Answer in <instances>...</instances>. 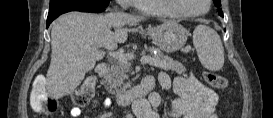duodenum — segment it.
<instances>
[{"label":"duodenum","instance_id":"duodenum-1","mask_svg":"<svg viewBox=\"0 0 273 118\" xmlns=\"http://www.w3.org/2000/svg\"><path fill=\"white\" fill-rule=\"evenodd\" d=\"M108 67L106 63H99L96 66V72L100 77L105 76L107 73ZM153 80H146L139 86L129 89L123 90L116 94L115 99L118 105L126 106L133 101L143 98L146 94L153 88Z\"/></svg>","mask_w":273,"mask_h":118}]
</instances>
